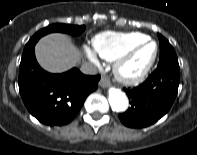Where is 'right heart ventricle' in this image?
<instances>
[{
	"instance_id": "e07e8e85",
	"label": "right heart ventricle",
	"mask_w": 197,
	"mask_h": 155,
	"mask_svg": "<svg viewBox=\"0 0 197 155\" xmlns=\"http://www.w3.org/2000/svg\"><path fill=\"white\" fill-rule=\"evenodd\" d=\"M148 38L140 32H104L93 38V48L97 55L106 61H115L131 46Z\"/></svg>"
}]
</instances>
